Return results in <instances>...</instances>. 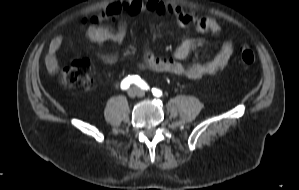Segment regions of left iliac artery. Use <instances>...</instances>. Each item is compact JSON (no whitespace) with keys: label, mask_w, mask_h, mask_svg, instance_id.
Returning <instances> with one entry per match:
<instances>
[{"label":"left iliac artery","mask_w":299,"mask_h":190,"mask_svg":"<svg viewBox=\"0 0 299 190\" xmlns=\"http://www.w3.org/2000/svg\"><path fill=\"white\" fill-rule=\"evenodd\" d=\"M152 92H153V94H154L155 96H160V95H161V91H160L159 89H155V88H153V89H152Z\"/></svg>","instance_id":"left-iliac-artery-1"}]
</instances>
